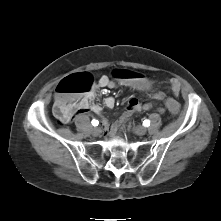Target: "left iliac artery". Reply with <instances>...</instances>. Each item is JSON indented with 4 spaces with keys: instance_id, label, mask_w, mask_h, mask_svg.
Wrapping results in <instances>:
<instances>
[{
    "instance_id": "obj_1",
    "label": "left iliac artery",
    "mask_w": 221,
    "mask_h": 221,
    "mask_svg": "<svg viewBox=\"0 0 221 221\" xmlns=\"http://www.w3.org/2000/svg\"><path fill=\"white\" fill-rule=\"evenodd\" d=\"M143 125L145 126V127H148V126H150V121L149 120H144L143 121Z\"/></svg>"
}]
</instances>
